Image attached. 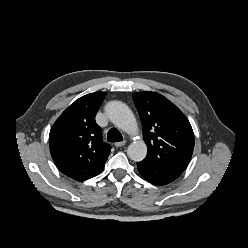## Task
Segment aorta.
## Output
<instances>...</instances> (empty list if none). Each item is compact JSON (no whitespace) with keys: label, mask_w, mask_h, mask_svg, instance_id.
<instances>
[{"label":"aorta","mask_w":248,"mask_h":248,"mask_svg":"<svg viewBox=\"0 0 248 248\" xmlns=\"http://www.w3.org/2000/svg\"><path fill=\"white\" fill-rule=\"evenodd\" d=\"M106 115L109 120L121 130L128 134L138 131V124L130 108L121 101H110L105 107ZM147 154V146L144 141H133L127 149L128 157L135 161H142Z\"/></svg>","instance_id":"obj_1"}]
</instances>
